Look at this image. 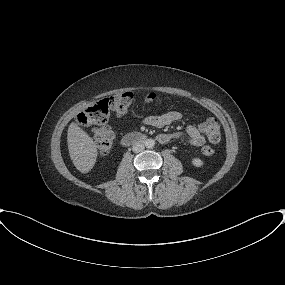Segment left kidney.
<instances>
[{
	"instance_id": "left-kidney-1",
	"label": "left kidney",
	"mask_w": 285,
	"mask_h": 285,
	"mask_svg": "<svg viewBox=\"0 0 285 285\" xmlns=\"http://www.w3.org/2000/svg\"><path fill=\"white\" fill-rule=\"evenodd\" d=\"M191 162L195 167H202L204 164L200 158H193Z\"/></svg>"
}]
</instances>
